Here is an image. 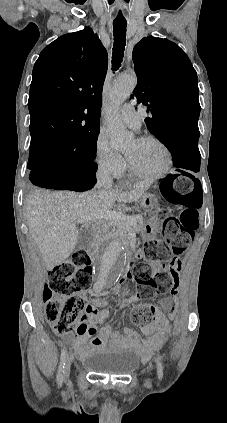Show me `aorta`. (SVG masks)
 <instances>
[{
    "instance_id": "obj_1",
    "label": "aorta",
    "mask_w": 227,
    "mask_h": 423,
    "mask_svg": "<svg viewBox=\"0 0 227 423\" xmlns=\"http://www.w3.org/2000/svg\"><path fill=\"white\" fill-rule=\"evenodd\" d=\"M136 83L134 75H119L109 93L110 106L106 111V126L111 146L115 149H123L133 140V135L119 120L118 111L133 92ZM124 264V246L121 240H113L99 246L94 257V276L97 285L107 286L117 282Z\"/></svg>"
}]
</instances>
